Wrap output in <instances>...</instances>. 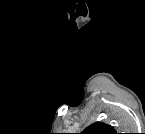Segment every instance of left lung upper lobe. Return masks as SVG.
Returning <instances> with one entry per match:
<instances>
[{"label":"left lung upper lobe","instance_id":"obj_1","mask_svg":"<svg viewBox=\"0 0 145 134\" xmlns=\"http://www.w3.org/2000/svg\"><path fill=\"white\" fill-rule=\"evenodd\" d=\"M82 134H116V131L111 125L102 122H95L85 128Z\"/></svg>","mask_w":145,"mask_h":134}]
</instances>
